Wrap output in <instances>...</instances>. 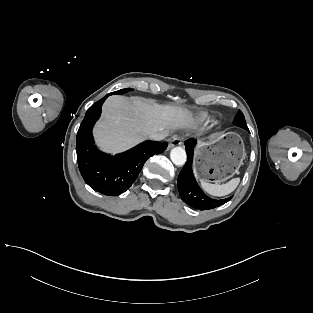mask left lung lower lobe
I'll return each mask as SVG.
<instances>
[{
	"mask_svg": "<svg viewBox=\"0 0 313 313\" xmlns=\"http://www.w3.org/2000/svg\"><path fill=\"white\" fill-rule=\"evenodd\" d=\"M196 144L194 139L185 141L187 162L178 176V190L181 199L193 208L208 210L219 207L228 202L232 197L216 200L208 197L198 186L192 172L193 148Z\"/></svg>",
	"mask_w": 313,
	"mask_h": 313,
	"instance_id": "0a47b994",
	"label": "left lung lower lobe"
}]
</instances>
